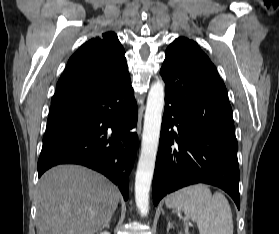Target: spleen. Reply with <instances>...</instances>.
<instances>
[{
	"instance_id": "spleen-1",
	"label": "spleen",
	"mask_w": 279,
	"mask_h": 234,
	"mask_svg": "<svg viewBox=\"0 0 279 234\" xmlns=\"http://www.w3.org/2000/svg\"><path fill=\"white\" fill-rule=\"evenodd\" d=\"M166 206L182 210L197 223L200 234H233L228 200L220 192L212 195L206 185H192L172 193L166 199Z\"/></svg>"
}]
</instances>
